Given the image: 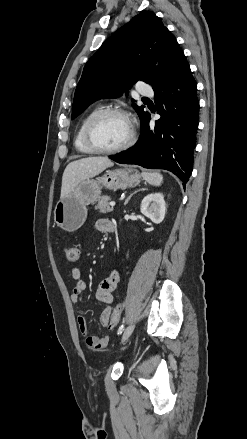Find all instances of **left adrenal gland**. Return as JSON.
<instances>
[{"mask_svg": "<svg viewBox=\"0 0 247 439\" xmlns=\"http://www.w3.org/2000/svg\"><path fill=\"white\" fill-rule=\"evenodd\" d=\"M144 190H147V188H141V189L136 190V191H134L133 193H131V194L126 198V200H125V202H124V205H126V204L128 203V201L131 199V197H132L134 194H136L137 192H140V191H144Z\"/></svg>", "mask_w": 247, "mask_h": 439, "instance_id": "a2214340", "label": "left adrenal gland"}]
</instances>
